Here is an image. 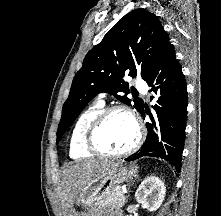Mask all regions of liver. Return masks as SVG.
I'll use <instances>...</instances> for the list:
<instances>
[{
    "label": "liver",
    "instance_id": "obj_1",
    "mask_svg": "<svg viewBox=\"0 0 221 216\" xmlns=\"http://www.w3.org/2000/svg\"><path fill=\"white\" fill-rule=\"evenodd\" d=\"M112 163L108 160L88 159L79 161L63 171L58 186V196L64 210V216H69L72 212V207L83 187Z\"/></svg>",
    "mask_w": 221,
    "mask_h": 216
}]
</instances>
